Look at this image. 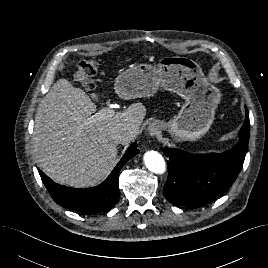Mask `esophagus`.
Wrapping results in <instances>:
<instances>
[{
	"mask_svg": "<svg viewBox=\"0 0 268 268\" xmlns=\"http://www.w3.org/2000/svg\"><path fill=\"white\" fill-rule=\"evenodd\" d=\"M160 125L159 123H151L149 126H148V133L149 135L151 136H155L156 134H158L159 130H160Z\"/></svg>",
	"mask_w": 268,
	"mask_h": 268,
	"instance_id": "34e87169",
	"label": "esophagus"
}]
</instances>
